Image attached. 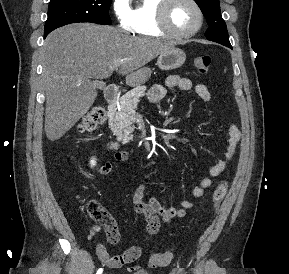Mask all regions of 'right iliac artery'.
<instances>
[{"instance_id":"obj_1","label":"right iliac artery","mask_w":289,"mask_h":274,"mask_svg":"<svg viewBox=\"0 0 289 274\" xmlns=\"http://www.w3.org/2000/svg\"><path fill=\"white\" fill-rule=\"evenodd\" d=\"M102 272H103V269L99 268L96 274H102Z\"/></svg>"}]
</instances>
